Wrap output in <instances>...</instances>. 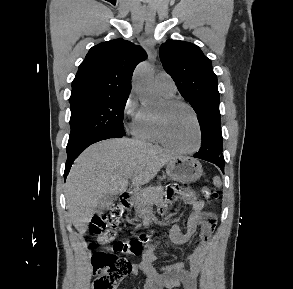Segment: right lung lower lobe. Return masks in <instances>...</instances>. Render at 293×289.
<instances>
[{
	"mask_svg": "<svg viewBox=\"0 0 293 289\" xmlns=\"http://www.w3.org/2000/svg\"><path fill=\"white\" fill-rule=\"evenodd\" d=\"M118 137H123L122 135H118V134H102L99 135L95 138L83 141L81 143H78L76 145H73L71 147H67L66 151H67V161H66V165H65V172H64V178L66 179L67 174L70 171L71 165L73 163V161L76 159V157L83 152L88 146H90L93 143H96L98 141L101 140H105V139H109V138H118Z\"/></svg>",
	"mask_w": 293,
	"mask_h": 289,
	"instance_id": "98d812e1",
	"label": "right lung lower lobe"
}]
</instances>
